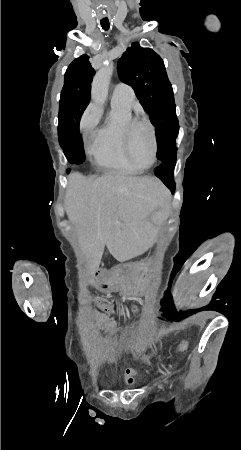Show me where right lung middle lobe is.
Wrapping results in <instances>:
<instances>
[{
	"mask_svg": "<svg viewBox=\"0 0 241 450\" xmlns=\"http://www.w3.org/2000/svg\"><path fill=\"white\" fill-rule=\"evenodd\" d=\"M92 76L93 74L64 81L61 92L58 115V136L62 143L64 153L71 164H81L85 160L84 153L70 155L66 151L65 139L68 129L74 119L83 114V111L90 102Z\"/></svg>",
	"mask_w": 241,
	"mask_h": 450,
	"instance_id": "dd1d6c3e",
	"label": "right lung middle lobe"
}]
</instances>
